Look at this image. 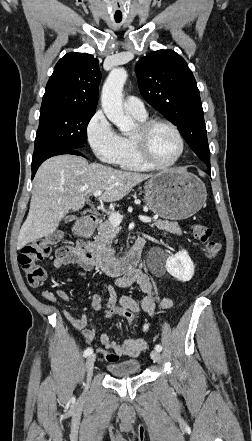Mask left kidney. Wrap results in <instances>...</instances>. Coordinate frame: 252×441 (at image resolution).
<instances>
[{"label": "left kidney", "mask_w": 252, "mask_h": 441, "mask_svg": "<svg viewBox=\"0 0 252 441\" xmlns=\"http://www.w3.org/2000/svg\"><path fill=\"white\" fill-rule=\"evenodd\" d=\"M165 268L177 280L187 282L192 279L195 267L187 251L180 250L167 258Z\"/></svg>", "instance_id": "obj_1"}]
</instances>
